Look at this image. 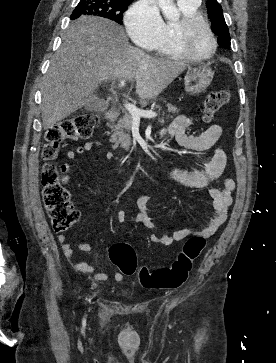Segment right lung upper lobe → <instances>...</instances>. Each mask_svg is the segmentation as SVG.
<instances>
[{"mask_svg":"<svg viewBox=\"0 0 276 363\" xmlns=\"http://www.w3.org/2000/svg\"><path fill=\"white\" fill-rule=\"evenodd\" d=\"M118 1H127V2H131L132 0H118Z\"/></svg>","mask_w":276,"mask_h":363,"instance_id":"1","label":"right lung upper lobe"}]
</instances>
